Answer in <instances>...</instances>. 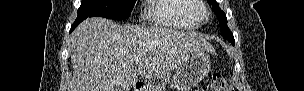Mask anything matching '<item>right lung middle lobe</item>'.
<instances>
[{
  "label": "right lung middle lobe",
  "mask_w": 304,
  "mask_h": 91,
  "mask_svg": "<svg viewBox=\"0 0 304 91\" xmlns=\"http://www.w3.org/2000/svg\"><path fill=\"white\" fill-rule=\"evenodd\" d=\"M137 0H82L77 19L105 17L107 19H127Z\"/></svg>",
  "instance_id": "1"
}]
</instances>
